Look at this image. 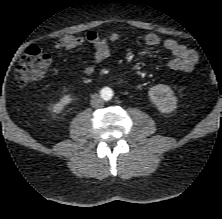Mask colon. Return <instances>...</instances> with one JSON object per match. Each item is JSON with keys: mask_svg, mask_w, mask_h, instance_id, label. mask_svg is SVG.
<instances>
[{"mask_svg": "<svg viewBox=\"0 0 222 219\" xmlns=\"http://www.w3.org/2000/svg\"><path fill=\"white\" fill-rule=\"evenodd\" d=\"M50 65V56L37 47L28 48L20 58L14 72V82L18 87L43 79ZM211 83H215L216 75L208 74Z\"/></svg>", "mask_w": 222, "mask_h": 219, "instance_id": "obj_1", "label": "colon"}]
</instances>
